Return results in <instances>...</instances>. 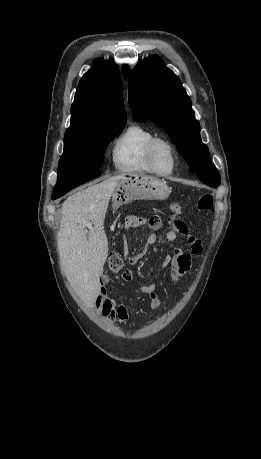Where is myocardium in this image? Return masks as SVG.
<instances>
[{"instance_id": "myocardium-1", "label": "myocardium", "mask_w": 261, "mask_h": 459, "mask_svg": "<svg viewBox=\"0 0 261 459\" xmlns=\"http://www.w3.org/2000/svg\"><path fill=\"white\" fill-rule=\"evenodd\" d=\"M159 145H165L170 150L172 158H173V166L171 170L166 173L159 171L155 165V152ZM147 161L154 174L161 176V177L172 175L175 172L177 165H178V153L175 148V145L169 139L165 137L156 136L154 139L150 141L148 145Z\"/></svg>"}]
</instances>
